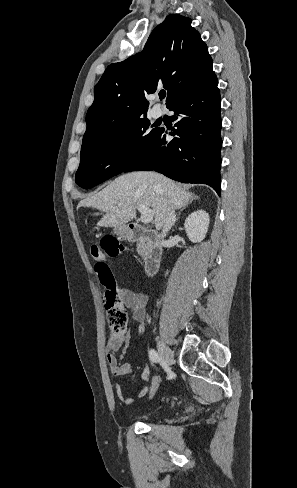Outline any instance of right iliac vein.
Here are the masks:
<instances>
[{
  "mask_svg": "<svg viewBox=\"0 0 297 488\" xmlns=\"http://www.w3.org/2000/svg\"><path fill=\"white\" fill-rule=\"evenodd\" d=\"M158 351L160 353L161 359L165 362L167 366H171L173 363L174 355L170 348L162 341L158 340L157 343Z\"/></svg>",
  "mask_w": 297,
  "mask_h": 488,
  "instance_id": "63e3f726",
  "label": "right iliac vein"
}]
</instances>
